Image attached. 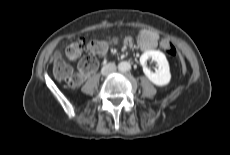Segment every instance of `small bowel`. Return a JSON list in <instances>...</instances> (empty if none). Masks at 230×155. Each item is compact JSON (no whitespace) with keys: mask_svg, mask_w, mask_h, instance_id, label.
Listing matches in <instances>:
<instances>
[{"mask_svg":"<svg viewBox=\"0 0 230 155\" xmlns=\"http://www.w3.org/2000/svg\"><path fill=\"white\" fill-rule=\"evenodd\" d=\"M139 38H140L139 46L141 49L145 51L154 50L158 45L159 35L152 30H148V29L140 30ZM117 42H118L117 38L111 40V44H116ZM104 55L105 53L102 54V56ZM81 73L84 72L81 71Z\"/></svg>","mask_w":230,"mask_h":155,"instance_id":"small-bowel-1","label":"small bowel"}]
</instances>
